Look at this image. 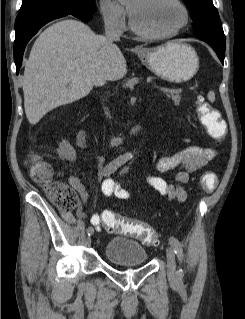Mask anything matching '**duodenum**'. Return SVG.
<instances>
[{
  "label": "duodenum",
  "mask_w": 245,
  "mask_h": 319,
  "mask_svg": "<svg viewBox=\"0 0 245 319\" xmlns=\"http://www.w3.org/2000/svg\"><path fill=\"white\" fill-rule=\"evenodd\" d=\"M140 131H141V125H140V124H137V125H135L134 127H132V128L129 130V132L127 133V136L130 137V136L137 135V134L140 133ZM122 140H123V137H117V138L115 139V141H116L117 143H121Z\"/></svg>",
  "instance_id": "1"
}]
</instances>
